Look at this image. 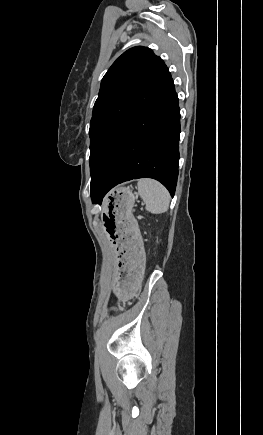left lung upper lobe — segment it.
Here are the masks:
<instances>
[{
	"label": "left lung upper lobe",
	"instance_id": "obj_1",
	"mask_svg": "<svg viewBox=\"0 0 263 435\" xmlns=\"http://www.w3.org/2000/svg\"><path fill=\"white\" fill-rule=\"evenodd\" d=\"M171 80L163 60L147 47H133L112 64L90 123L91 182L123 131Z\"/></svg>",
	"mask_w": 263,
	"mask_h": 435
}]
</instances>
